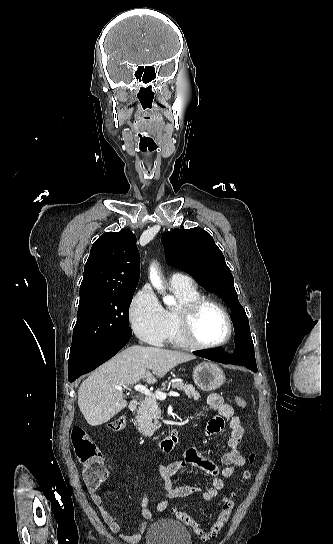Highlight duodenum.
<instances>
[{"label":"duodenum","mask_w":333,"mask_h":544,"mask_svg":"<svg viewBox=\"0 0 333 544\" xmlns=\"http://www.w3.org/2000/svg\"><path fill=\"white\" fill-rule=\"evenodd\" d=\"M138 404H139V401L137 399L132 400L129 404V409L132 411L136 410L138 407ZM179 440H180V433H179V428L177 427L174 430H172V432L168 436L159 440L157 443V446L161 451L169 452L177 446V444L179 443Z\"/></svg>","instance_id":"obj_1"}]
</instances>
